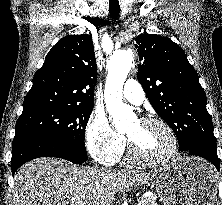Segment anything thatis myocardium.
<instances>
[{
    "instance_id": "myocardium-1",
    "label": "myocardium",
    "mask_w": 222,
    "mask_h": 205,
    "mask_svg": "<svg viewBox=\"0 0 222 205\" xmlns=\"http://www.w3.org/2000/svg\"><path fill=\"white\" fill-rule=\"evenodd\" d=\"M139 121L142 123H147V124H157L161 126L162 128H164V130L167 132V134L170 137L171 146H170L169 151L164 156L158 159H148L139 155L132 140L127 136L129 158L133 162L143 165V166L157 167V166H163L165 164H168L170 161H172L175 158L178 152V139L173 128L165 120L158 117L147 116V117L141 118Z\"/></svg>"
}]
</instances>
